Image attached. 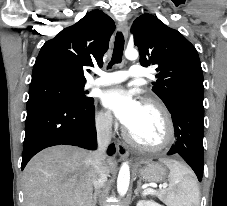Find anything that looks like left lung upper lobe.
<instances>
[{
	"label": "left lung upper lobe",
	"mask_w": 227,
	"mask_h": 206,
	"mask_svg": "<svg viewBox=\"0 0 227 206\" xmlns=\"http://www.w3.org/2000/svg\"><path fill=\"white\" fill-rule=\"evenodd\" d=\"M134 44L144 67L158 65L152 91L169 109L185 100L203 102L204 86L200 59L195 47L177 30L157 17L143 14L131 28Z\"/></svg>",
	"instance_id": "obj_1"
}]
</instances>
